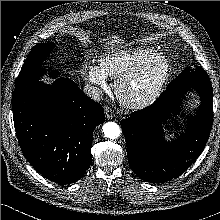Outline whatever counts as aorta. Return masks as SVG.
Here are the masks:
<instances>
[{
    "mask_svg": "<svg viewBox=\"0 0 220 220\" xmlns=\"http://www.w3.org/2000/svg\"><path fill=\"white\" fill-rule=\"evenodd\" d=\"M103 133L105 137L113 140L120 136L121 131L117 123L107 122L103 125Z\"/></svg>",
    "mask_w": 220,
    "mask_h": 220,
    "instance_id": "1",
    "label": "aorta"
}]
</instances>
